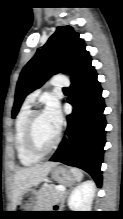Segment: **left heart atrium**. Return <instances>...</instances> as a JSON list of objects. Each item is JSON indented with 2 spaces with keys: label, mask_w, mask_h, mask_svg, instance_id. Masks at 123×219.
I'll list each match as a JSON object with an SVG mask.
<instances>
[{
  "label": "left heart atrium",
  "mask_w": 123,
  "mask_h": 219,
  "mask_svg": "<svg viewBox=\"0 0 123 219\" xmlns=\"http://www.w3.org/2000/svg\"><path fill=\"white\" fill-rule=\"evenodd\" d=\"M44 113L53 123V125L60 130L63 123V116L58 102L54 99L48 101Z\"/></svg>",
  "instance_id": "39dd6f15"
}]
</instances>
